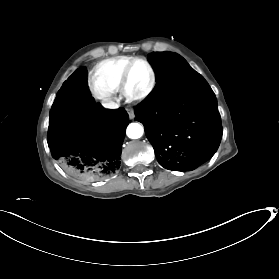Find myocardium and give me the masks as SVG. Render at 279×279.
Here are the masks:
<instances>
[{
	"mask_svg": "<svg viewBox=\"0 0 279 279\" xmlns=\"http://www.w3.org/2000/svg\"><path fill=\"white\" fill-rule=\"evenodd\" d=\"M136 62L144 63L148 67V69L150 71V75H151V80H150L149 86L146 88L145 91H143L142 93L137 94V95L132 94L128 88V78H129L130 69H131L132 65ZM156 84H157V75H156V71H155L153 65L146 58L136 56V57H132L125 64V66L122 70L119 91L124 96V98L127 99L128 101H132V102L143 101L152 94V92L156 88Z\"/></svg>",
	"mask_w": 279,
	"mask_h": 279,
	"instance_id": "f54148a6",
	"label": "myocardium"
}]
</instances>
